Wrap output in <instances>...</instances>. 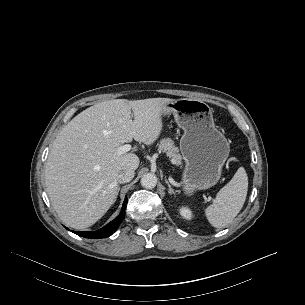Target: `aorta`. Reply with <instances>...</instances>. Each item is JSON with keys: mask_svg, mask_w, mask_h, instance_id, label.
Here are the masks:
<instances>
[{"mask_svg": "<svg viewBox=\"0 0 305 305\" xmlns=\"http://www.w3.org/2000/svg\"><path fill=\"white\" fill-rule=\"evenodd\" d=\"M157 184V177L153 173L144 174L141 178V185L146 189H152Z\"/></svg>", "mask_w": 305, "mask_h": 305, "instance_id": "aorta-1", "label": "aorta"}]
</instances>
